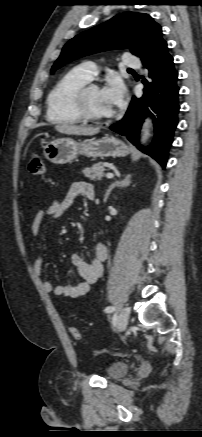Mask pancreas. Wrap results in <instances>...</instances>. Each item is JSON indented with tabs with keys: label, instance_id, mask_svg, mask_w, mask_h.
Masks as SVG:
<instances>
[{
	"label": "pancreas",
	"instance_id": "obj_1",
	"mask_svg": "<svg viewBox=\"0 0 202 437\" xmlns=\"http://www.w3.org/2000/svg\"><path fill=\"white\" fill-rule=\"evenodd\" d=\"M105 168L101 163L94 164L92 167L85 168L82 172L84 176L90 180H101L104 175Z\"/></svg>",
	"mask_w": 202,
	"mask_h": 437
}]
</instances>
